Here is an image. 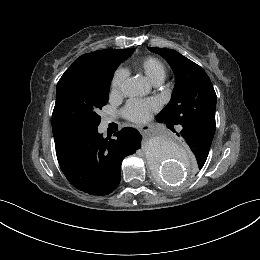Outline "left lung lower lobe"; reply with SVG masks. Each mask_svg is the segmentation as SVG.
<instances>
[{
	"mask_svg": "<svg viewBox=\"0 0 260 260\" xmlns=\"http://www.w3.org/2000/svg\"><path fill=\"white\" fill-rule=\"evenodd\" d=\"M156 118L159 122H166L158 117ZM166 124L168 127L173 126L167 122ZM180 135L184 138V140L194 153L197 162H205L214 136L205 133L204 131L196 128L193 125H183Z\"/></svg>",
	"mask_w": 260,
	"mask_h": 260,
	"instance_id": "obj_1",
	"label": "left lung lower lobe"
}]
</instances>
